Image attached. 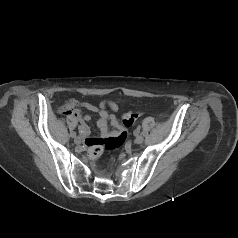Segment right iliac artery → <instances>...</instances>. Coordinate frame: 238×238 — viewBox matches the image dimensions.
I'll list each match as a JSON object with an SVG mask.
<instances>
[{
  "mask_svg": "<svg viewBox=\"0 0 238 238\" xmlns=\"http://www.w3.org/2000/svg\"><path fill=\"white\" fill-rule=\"evenodd\" d=\"M71 136H72V137H76V133H75V132L72 133Z\"/></svg>",
  "mask_w": 238,
  "mask_h": 238,
  "instance_id": "82829eb1",
  "label": "right iliac artery"
}]
</instances>
